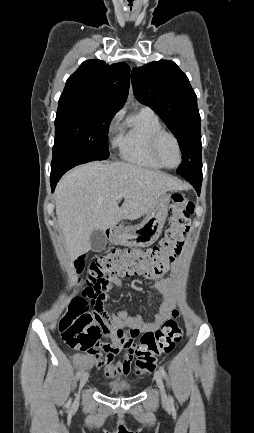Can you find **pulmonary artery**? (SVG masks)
<instances>
[{
    "label": "pulmonary artery",
    "instance_id": "e3ab8cb5",
    "mask_svg": "<svg viewBox=\"0 0 254 433\" xmlns=\"http://www.w3.org/2000/svg\"><path fill=\"white\" fill-rule=\"evenodd\" d=\"M142 109H148V110H150L149 108H147V107H144V108H142Z\"/></svg>",
    "mask_w": 254,
    "mask_h": 433
}]
</instances>
